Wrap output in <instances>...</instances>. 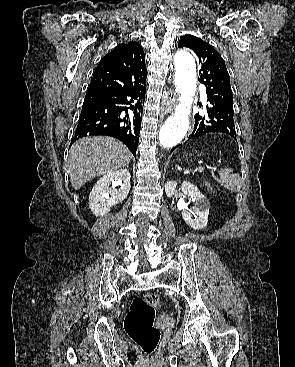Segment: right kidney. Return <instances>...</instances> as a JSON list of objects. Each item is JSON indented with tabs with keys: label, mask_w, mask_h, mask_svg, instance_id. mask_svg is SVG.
<instances>
[{
	"label": "right kidney",
	"mask_w": 295,
	"mask_h": 367,
	"mask_svg": "<svg viewBox=\"0 0 295 367\" xmlns=\"http://www.w3.org/2000/svg\"><path fill=\"white\" fill-rule=\"evenodd\" d=\"M130 172L120 169L104 175L97 181L89 196V208L95 216H103L113 205L127 198L130 191ZM112 184L113 188H110ZM115 186H120L117 190Z\"/></svg>",
	"instance_id": "obj_1"
}]
</instances>
